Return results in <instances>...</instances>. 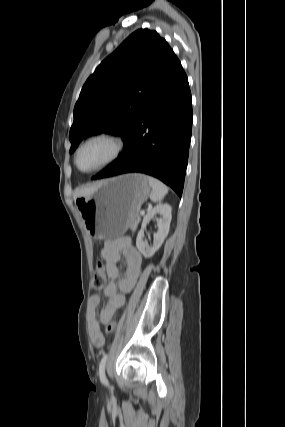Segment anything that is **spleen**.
Segmentation results:
<instances>
[{
    "mask_svg": "<svg viewBox=\"0 0 285 427\" xmlns=\"http://www.w3.org/2000/svg\"><path fill=\"white\" fill-rule=\"evenodd\" d=\"M147 180L152 189L150 194L151 201L156 203L161 202L168 193V188L161 181L151 176H147Z\"/></svg>",
    "mask_w": 285,
    "mask_h": 427,
    "instance_id": "3e777b00",
    "label": "spleen"
}]
</instances>
